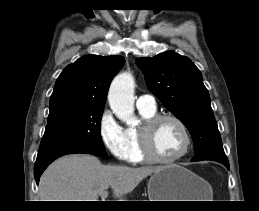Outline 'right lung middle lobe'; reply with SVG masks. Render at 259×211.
I'll return each mask as SVG.
<instances>
[{
	"label": "right lung middle lobe",
	"mask_w": 259,
	"mask_h": 211,
	"mask_svg": "<svg viewBox=\"0 0 259 211\" xmlns=\"http://www.w3.org/2000/svg\"><path fill=\"white\" fill-rule=\"evenodd\" d=\"M100 109H72L48 118L39 153L62 146L105 150L100 135Z\"/></svg>",
	"instance_id": "1"
}]
</instances>
